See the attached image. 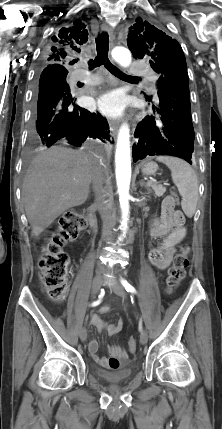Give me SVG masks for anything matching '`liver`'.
<instances>
[{"label": "liver", "instance_id": "obj_1", "mask_svg": "<svg viewBox=\"0 0 222 429\" xmlns=\"http://www.w3.org/2000/svg\"><path fill=\"white\" fill-rule=\"evenodd\" d=\"M100 157L63 147H52L31 162L22 186L26 216L39 236L66 210L86 202L92 168Z\"/></svg>", "mask_w": 222, "mask_h": 429}]
</instances>
